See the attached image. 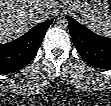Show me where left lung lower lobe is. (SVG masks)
Instances as JSON below:
<instances>
[{
  "label": "left lung lower lobe",
  "mask_w": 111,
  "mask_h": 106,
  "mask_svg": "<svg viewBox=\"0 0 111 106\" xmlns=\"http://www.w3.org/2000/svg\"><path fill=\"white\" fill-rule=\"evenodd\" d=\"M69 23L72 41L83 57L92 66L101 69L111 68V38L94 34L73 18L66 16Z\"/></svg>",
  "instance_id": "obj_1"
}]
</instances>
